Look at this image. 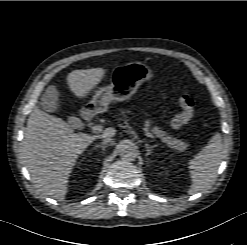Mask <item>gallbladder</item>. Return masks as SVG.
<instances>
[{"instance_id": "obj_1", "label": "gallbladder", "mask_w": 247, "mask_h": 245, "mask_svg": "<svg viewBox=\"0 0 247 245\" xmlns=\"http://www.w3.org/2000/svg\"><path fill=\"white\" fill-rule=\"evenodd\" d=\"M40 105L46 112L55 113L58 109V91L49 86L41 97Z\"/></svg>"}]
</instances>
